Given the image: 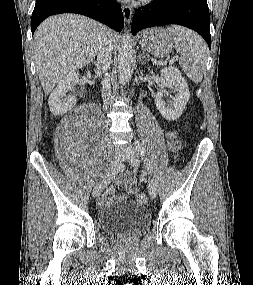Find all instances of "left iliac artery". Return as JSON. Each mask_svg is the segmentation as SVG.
<instances>
[{
    "mask_svg": "<svg viewBox=\"0 0 253 285\" xmlns=\"http://www.w3.org/2000/svg\"><path fill=\"white\" fill-rule=\"evenodd\" d=\"M135 147H136L138 153L140 154V156L142 157V159L144 160V162L146 163V168H147L148 173L152 174L153 167L145 155V150L142 146V143L138 140H135Z\"/></svg>",
    "mask_w": 253,
    "mask_h": 285,
    "instance_id": "1",
    "label": "left iliac artery"
}]
</instances>
